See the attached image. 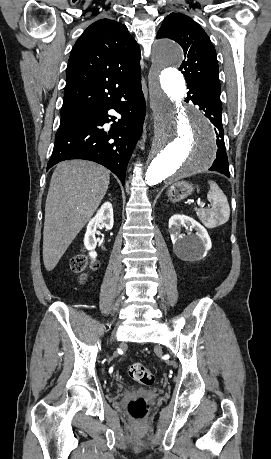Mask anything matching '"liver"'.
<instances>
[{
	"label": "liver",
	"instance_id": "1",
	"mask_svg": "<svg viewBox=\"0 0 271 459\" xmlns=\"http://www.w3.org/2000/svg\"><path fill=\"white\" fill-rule=\"evenodd\" d=\"M109 172L87 160L57 164L52 174L45 206L43 261L52 271L84 228L109 186Z\"/></svg>",
	"mask_w": 271,
	"mask_h": 459
}]
</instances>
